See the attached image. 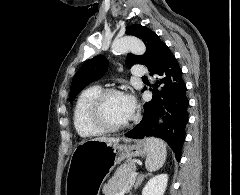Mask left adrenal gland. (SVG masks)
<instances>
[{
	"instance_id": "a2214340",
	"label": "left adrenal gland",
	"mask_w": 240,
	"mask_h": 195,
	"mask_svg": "<svg viewBox=\"0 0 240 195\" xmlns=\"http://www.w3.org/2000/svg\"><path fill=\"white\" fill-rule=\"evenodd\" d=\"M147 175H152V173H139V175H137L134 183V189H137L138 185H140L141 181H143L144 177H147Z\"/></svg>"
}]
</instances>
